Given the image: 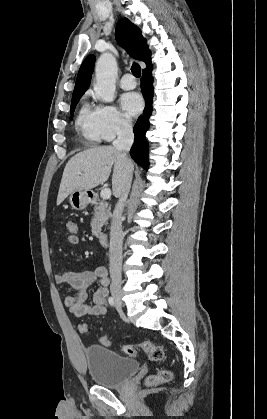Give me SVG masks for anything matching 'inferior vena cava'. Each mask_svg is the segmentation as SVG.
I'll return each instance as SVG.
<instances>
[{"label":"inferior vena cava","mask_w":267,"mask_h":419,"mask_svg":"<svg viewBox=\"0 0 267 419\" xmlns=\"http://www.w3.org/2000/svg\"><path fill=\"white\" fill-rule=\"evenodd\" d=\"M117 139L113 142V147L121 152L122 156L127 161V171L124 175L123 181L119 188V200L116 204L112 223L110 227V246H109V270L110 277L112 280L111 290L120 289L121 287V269H122V244H123V232H122V212L127 200L133 167L128 159L127 153L129 152L133 141L134 134L132 130V123L129 120H122L119 127L117 128Z\"/></svg>","instance_id":"inferior-vena-cava-1"}]
</instances>
